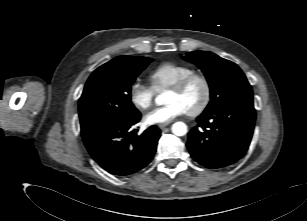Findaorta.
I'll return each instance as SVG.
<instances>
[{
    "label": "aorta",
    "mask_w": 307,
    "mask_h": 221,
    "mask_svg": "<svg viewBox=\"0 0 307 221\" xmlns=\"http://www.w3.org/2000/svg\"><path fill=\"white\" fill-rule=\"evenodd\" d=\"M155 102L157 105H162L164 104L163 98L161 95H158L155 98ZM172 132L176 135V136H183L187 133V126L185 123L183 122H176L172 125Z\"/></svg>",
    "instance_id": "762f6f07"
}]
</instances>
